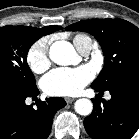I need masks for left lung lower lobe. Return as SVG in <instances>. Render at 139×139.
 I'll return each mask as SVG.
<instances>
[{
    "label": "left lung lower lobe",
    "mask_w": 139,
    "mask_h": 139,
    "mask_svg": "<svg viewBox=\"0 0 139 139\" xmlns=\"http://www.w3.org/2000/svg\"><path fill=\"white\" fill-rule=\"evenodd\" d=\"M107 90L111 99H92L94 108L84 127L93 139H130L139 128V70L124 75Z\"/></svg>",
    "instance_id": "0a47b994"
}]
</instances>
